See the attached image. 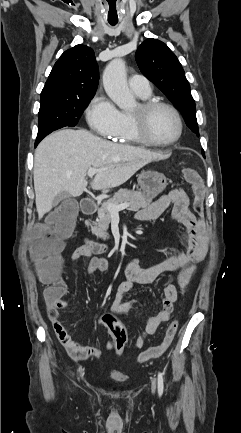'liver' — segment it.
Instances as JSON below:
<instances>
[{
    "instance_id": "liver-1",
    "label": "liver",
    "mask_w": 241,
    "mask_h": 433,
    "mask_svg": "<svg viewBox=\"0 0 241 433\" xmlns=\"http://www.w3.org/2000/svg\"><path fill=\"white\" fill-rule=\"evenodd\" d=\"M163 155L144 148L121 145L84 129H63L44 138L34 156L35 202L39 220L53 208L61 192L80 196L87 187L86 172L98 169L93 190L108 192L122 185L139 169Z\"/></svg>"
}]
</instances>
